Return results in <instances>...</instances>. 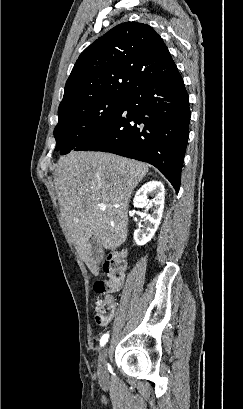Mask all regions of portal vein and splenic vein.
Here are the masks:
<instances>
[{
    "label": "portal vein and splenic vein",
    "mask_w": 243,
    "mask_h": 409,
    "mask_svg": "<svg viewBox=\"0 0 243 409\" xmlns=\"http://www.w3.org/2000/svg\"><path fill=\"white\" fill-rule=\"evenodd\" d=\"M99 206H100V209H101L102 211H105V210H106V205H105V204H100Z\"/></svg>",
    "instance_id": "18ae733b"
}]
</instances>
